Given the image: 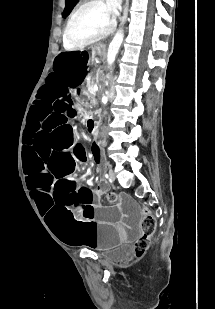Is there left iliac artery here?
Masks as SVG:
<instances>
[{"mask_svg":"<svg viewBox=\"0 0 215 309\" xmlns=\"http://www.w3.org/2000/svg\"><path fill=\"white\" fill-rule=\"evenodd\" d=\"M105 176H106V178H108V177H109V175H108V174H106Z\"/></svg>","mask_w":215,"mask_h":309,"instance_id":"left-iliac-artery-1","label":"left iliac artery"}]
</instances>
